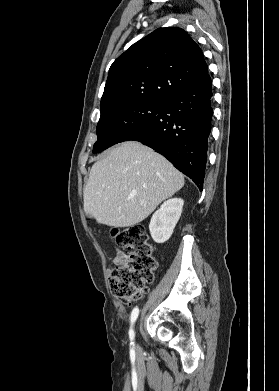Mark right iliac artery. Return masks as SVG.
Here are the masks:
<instances>
[{
  "instance_id": "1",
  "label": "right iliac artery",
  "mask_w": 279,
  "mask_h": 391,
  "mask_svg": "<svg viewBox=\"0 0 279 391\" xmlns=\"http://www.w3.org/2000/svg\"><path fill=\"white\" fill-rule=\"evenodd\" d=\"M138 314H139V309L138 307H135L133 310H132V313H131V327H130V330H129V336H130V340H131V345L134 344L133 342V339H134V330H133V324L135 323L137 317H138Z\"/></svg>"
}]
</instances>
